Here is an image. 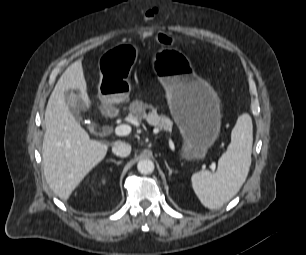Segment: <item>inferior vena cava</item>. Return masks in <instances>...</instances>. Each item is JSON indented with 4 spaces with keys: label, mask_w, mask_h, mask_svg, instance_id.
Listing matches in <instances>:
<instances>
[{
    "label": "inferior vena cava",
    "mask_w": 306,
    "mask_h": 255,
    "mask_svg": "<svg viewBox=\"0 0 306 255\" xmlns=\"http://www.w3.org/2000/svg\"><path fill=\"white\" fill-rule=\"evenodd\" d=\"M112 152L119 157H127L131 152V145L126 142L117 141L112 147Z\"/></svg>",
    "instance_id": "obj_1"
}]
</instances>
